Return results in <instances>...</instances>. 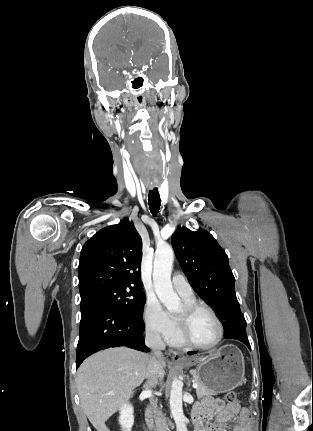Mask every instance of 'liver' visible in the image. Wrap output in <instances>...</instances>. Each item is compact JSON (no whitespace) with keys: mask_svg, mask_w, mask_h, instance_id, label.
Listing matches in <instances>:
<instances>
[{"mask_svg":"<svg viewBox=\"0 0 313 431\" xmlns=\"http://www.w3.org/2000/svg\"><path fill=\"white\" fill-rule=\"evenodd\" d=\"M151 357L129 348H111L86 359L76 375L81 407L97 431L128 401L147 375ZM166 365L165 358L160 360Z\"/></svg>","mask_w":313,"mask_h":431,"instance_id":"6515ba94","label":"liver"}]
</instances>
